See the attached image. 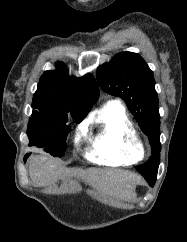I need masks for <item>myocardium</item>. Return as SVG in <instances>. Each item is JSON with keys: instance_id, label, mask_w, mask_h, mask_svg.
<instances>
[{"instance_id": "f54148a6", "label": "myocardium", "mask_w": 187, "mask_h": 242, "mask_svg": "<svg viewBox=\"0 0 187 242\" xmlns=\"http://www.w3.org/2000/svg\"><path fill=\"white\" fill-rule=\"evenodd\" d=\"M133 144L141 153V155L144 156L147 147H146V144L143 142V140L140 137H138L136 140H134Z\"/></svg>"}]
</instances>
